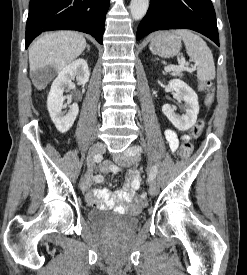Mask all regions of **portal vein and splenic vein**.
Returning a JSON list of instances; mask_svg holds the SVG:
<instances>
[{"mask_svg":"<svg viewBox=\"0 0 247 275\" xmlns=\"http://www.w3.org/2000/svg\"><path fill=\"white\" fill-rule=\"evenodd\" d=\"M195 69V67H191L188 68L185 66V59H181L180 64L178 66H168L165 68L166 72H171V71H183V70H187V71H193Z\"/></svg>","mask_w":247,"mask_h":275,"instance_id":"obj_1","label":"portal vein and splenic vein"}]
</instances>
